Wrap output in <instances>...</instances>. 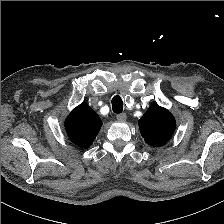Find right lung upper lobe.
I'll return each mask as SVG.
<instances>
[{
	"label": "right lung upper lobe",
	"mask_w": 224,
	"mask_h": 224,
	"mask_svg": "<svg viewBox=\"0 0 224 224\" xmlns=\"http://www.w3.org/2000/svg\"><path fill=\"white\" fill-rule=\"evenodd\" d=\"M101 126L100 117L86 103L77 106L65 121L69 139L81 148H87L93 143Z\"/></svg>",
	"instance_id": "right-lung-upper-lobe-1"
}]
</instances>
